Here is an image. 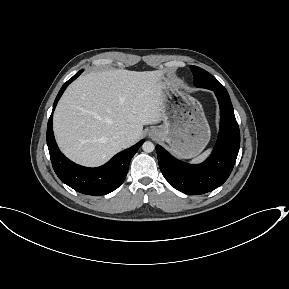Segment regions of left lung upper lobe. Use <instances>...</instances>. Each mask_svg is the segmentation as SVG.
I'll use <instances>...</instances> for the list:
<instances>
[{
    "mask_svg": "<svg viewBox=\"0 0 289 289\" xmlns=\"http://www.w3.org/2000/svg\"><path fill=\"white\" fill-rule=\"evenodd\" d=\"M190 68L194 75V84L196 87L226 91L224 86L204 69L197 66H190Z\"/></svg>",
    "mask_w": 289,
    "mask_h": 289,
    "instance_id": "1",
    "label": "left lung upper lobe"
}]
</instances>
